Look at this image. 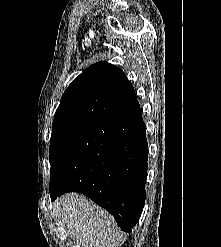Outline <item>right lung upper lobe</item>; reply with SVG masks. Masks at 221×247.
I'll return each mask as SVG.
<instances>
[{
    "label": "right lung upper lobe",
    "mask_w": 221,
    "mask_h": 247,
    "mask_svg": "<svg viewBox=\"0 0 221 247\" xmlns=\"http://www.w3.org/2000/svg\"><path fill=\"white\" fill-rule=\"evenodd\" d=\"M137 107L134 88L125 73L106 61L97 62L84 70L64 92L53 129L90 128Z\"/></svg>",
    "instance_id": "obj_1"
}]
</instances>
